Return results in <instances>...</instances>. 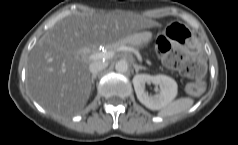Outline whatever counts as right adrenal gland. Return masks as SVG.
Returning a JSON list of instances; mask_svg holds the SVG:
<instances>
[{"mask_svg": "<svg viewBox=\"0 0 238 145\" xmlns=\"http://www.w3.org/2000/svg\"><path fill=\"white\" fill-rule=\"evenodd\" d=\"M96 77H97V74L92 75L91 84H94Z\"/></svg>", "mask_w": 238, "mask_h": 145, "instance_id": "right-adrenal-gland-1", "label": "right adrenal gland"}]
</instances>
